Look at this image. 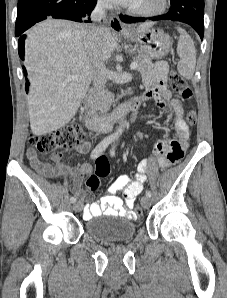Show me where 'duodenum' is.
<instances>
[{"label":"duodenum","instance_id":"obj_1","mask_svg":"<svg viewBox=\"0 0 227 298\" xmlns=\"http://www.w3.org/2000/svg\"><path fill=\"white\" fill-rule=\"evenodd\" d=\"M141 97L132 98L106 115H98L95 111V101L92 95L85 102L84 123L90 130L97 132H108L116 122L124 119L131 111H136L142 104Z\"/></svg>","mask_w":227,"mask_h":298}]
</instances>
